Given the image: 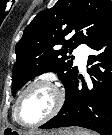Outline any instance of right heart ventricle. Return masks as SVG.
Returning <instances> with one entry per match:
<instances>
[{"mask_svg":"<svg viewBox=\"0 0 112 135\" xmlns=\"http://www.w3.org/2000/svg\"><path fill=\"white\" fill-rule=\"evenodd\" d=\"M12 116H13L14 121H15L16 123H18V121H17L16 118H15L14 107H13V111H12ZM18 124H19V123H18Z\"/></svg>","mask_w":112,"mask_h":135,"instance_id":"obj_1","label":"right heart ventricle"}]
</instances>
